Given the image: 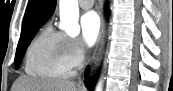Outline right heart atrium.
<instances>
[{
	"label": "right heart atrium",
	"mask_w": 173,
	"mask_h": 91,
	"mask_svg": "<svg viewBox=\"0 0 173 91\" xmlns=\"http://www.w3.org/2000/svg\"><path fill=\"white\" fill-rule=\"evenodd\" d=\"M64 48L66 58L72 68L82 65L85 60L86 48L79 38L64 37Z\"/></svg>",
	"instance_id": "d8ad5b80"
}]
</instances>
